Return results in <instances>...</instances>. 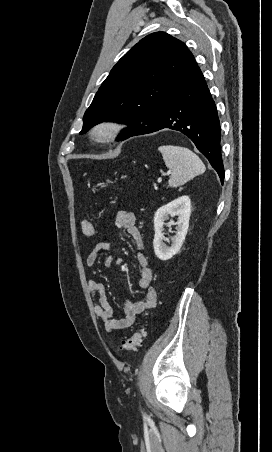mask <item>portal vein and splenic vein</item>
I'll return each instance as SVG.
<instances>
[{"mask_svg":"<svg viewBox=\"0 0 272 452\" xmlns=\"http://www.w3.org/2000/svg\"><path fill=\"white\" fill-rule=\"evenodd\" d=\"M161 181H162V178L159 177V178H158V183H161Z\"/></svg>","mask_w":272,"mask_h":452,"instance_id":"portal-vein-and-splenic-vein-1","label":"portal vein and splenic vein"}]
</instances>
